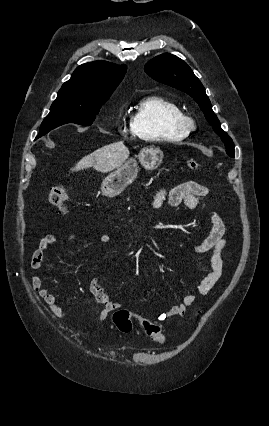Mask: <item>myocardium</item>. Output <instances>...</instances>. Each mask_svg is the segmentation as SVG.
<instances>
[{
  "label": "myocardium",
  "instance_id": "f54148a6",
  "mask_svg": "<svg viewBox=\"0 0 269 426\" xmlns=\"http://www.w3.org/2000/svg\"><path fill=\"white\" fill-rule=\"evenodd\" d=\"M178 127L184 129L187 133L195 128V120L189 116L182 114L176 119Z\"/></svg>",
  "mask_w": 269,
  "mask_h": 426
}]
</instances>
